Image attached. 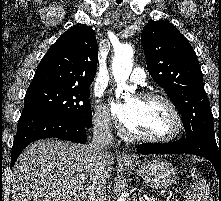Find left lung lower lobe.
<instances>
[{
	"instance_id": "0a47b994",
	"label": "left lung lower lobe",
	"mask_w": 221,
	"mask_h": 201,
	"mask_svg": "<svg viewBox=\"0 0 221 201\" xmlns=\"http://www.w3.org/2000/svg\"><path fill=\"white\" fill-rule=\"evenodd\" d=\"M141 154H195L208 159L221 178V144L203 132H191L182 140L166 144H141L137 147Z\"/></svg>"
}]
</instances>
